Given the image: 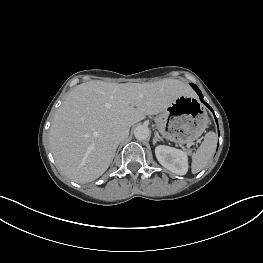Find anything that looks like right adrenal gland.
I'll list each match as a JSON object with an SVG mask.
<instances>
[{
    "label": "right adrenal gland",
    "instance_id": "1",
    "mask_svg": "<svg viewBox=\"0 0 263 263\" xmlns=\"http://www.w3.org/2000/svg\"><path fill=\"white\" fill-rule=\"evenodd\" d=\"M117 147H118V144H117L116 147H115L114 155H115V152H116Z\"/></svg>",
    "mask_w": 263,
    "mask_h": 263
}]
</instances>
